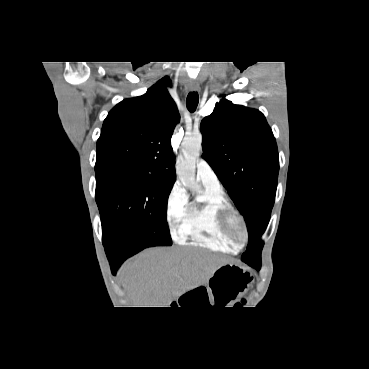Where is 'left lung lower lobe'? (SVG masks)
<instances>
[{
    "instance_id": "left-lung-lower-lobe-1",
    "label": "left lung lower lobe",
    "mask_w": 369,
    "mask_h": 369,
    "mask_svg": "<svg viewBox=\"0 0 369 369\" xmlns=\"http://www.w3.org/2000/svg\"><path fill=\"white\" fill-rule=\"evenodd\" d=\"M249 266L255 268L256 270H260L261 268V265H249Z\"/></svg>"
}]
</instances>
